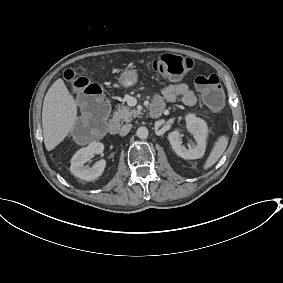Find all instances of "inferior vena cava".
<instances>
[{
    "mask_svg": "<svg viewBox=\"0 0 283 283\" xmlns=\"http://www.w3.org/2000/svg\"><path fill=\"white\" fill-rule=\"evenodd\" d=\"M131 128H132L131 124H126V125L122 126L121 130L119 131V135L120 136L127 135L130 132Z\"/></svg>",
    "mask_w": 283,
    "mask_h": 283,
    "instance_id": "1",
    "label": "inferior vena cava"
}]
</instances>
